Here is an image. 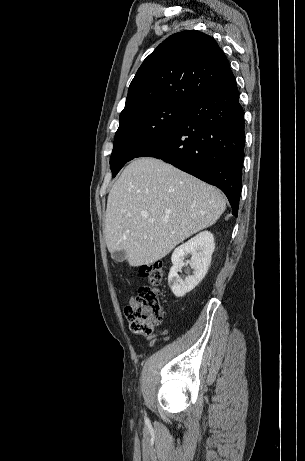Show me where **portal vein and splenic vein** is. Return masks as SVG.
<instances>
[{
	"mask_svg": "<svg viewBox=\"0 0 305 461\" xmlns=\"http://www.w3.org/2000/svg\"><path fill=\"white\" fill-rule=\"evenodd\" d=\"M143 217L147 218V217H148V215H147V214H143Z\"/></svg>",
	"mask_w": 305,
	"mask_h": 461,
	"instance_id": "obj_1",
	"label": "portal vein and splenic vein"
}]
</instances>
